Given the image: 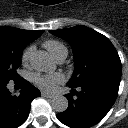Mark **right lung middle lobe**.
<instances>
[{
	"mask_svg": "<svg viewBox=\"0 0 128 128\" xmlns=\"http://www.w3.org/2000/svg\"><path fill=\"white\" fill-rule=\"evenodd\" d=\"M26 45L17 41L0 40V82L20 79L16 70L21 65L22 50Z\"/></svg>",
	"mask_w": 128,
	"mask_h": 128,
	"instance_id": "obj_1",
	"label": "right lung middle lobe"
}]
</instances>
